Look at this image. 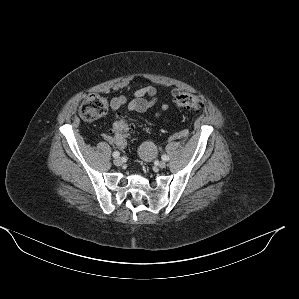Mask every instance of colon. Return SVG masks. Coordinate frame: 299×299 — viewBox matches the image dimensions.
<instances>
[{
	"instance_id": "5ec220e1",
	"label": "colon",
	"mask_w": 299,
	"mask_h": 299,
	"mask_svg": "<svg viewBox=\"0 0 299 299\" xmlns=\"http://www.w3.org/2000/svg\"><path fill=\"white\" fill-rule=\"evenodd\" d=\"M173 99L178 107L187 110L199 111L204 107L202 99L194 94L175 93ZM107 109L108 104L105 98L97 94H89L83 99L79 112L85 120L93 121L105 115ZM131 128L130 121L124 117H120L112 126L114 139L121 149L126 148V136Z\"/></svg>"
}]
</instances>
